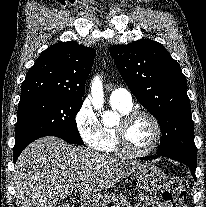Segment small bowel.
I'll list each match as a JSON object with an SVG mask.
<instances>
[{
  "label": "small bowel",
  "instance_id": "1",
  "mask_svg": "<svg viewBox=\"0 0 206 207\" xmlns=\"http://www.w3.org/2000/svg\"><path fill=\"white\" fill-rule=\"evenodd\" d=\"M136 207H168L165 203L154 197L143 196Z\"/></svg>",
  "mask_w": 206,
  "mask_h": 207
}]
</instances>
